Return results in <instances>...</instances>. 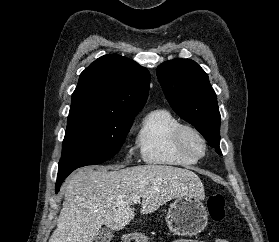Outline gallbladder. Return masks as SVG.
Wrapping results in <instances>:
<instances>
[{"label":"gallbladder","mask_w":279,"mask_h":242,"mask_svg":"<svg viewBox=\"0 0 279 242\" xmlns=\"http://www.w3.org/2000/svg\"><path fill=\"white\" fill-rule=\"evenodd\" d=\"M113 238L112 231L107 228H103L98 231L97 235L95 236L96 242H110Z\"/></svg>","instance_id":"gallbladder-1"}]
</instances>
